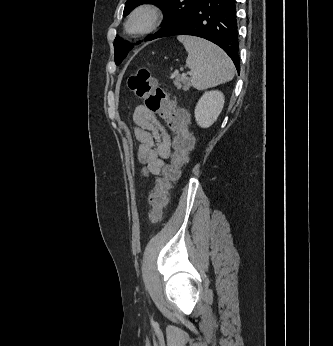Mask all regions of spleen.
<instances>
[{"instance_id":"1","label":"spleen","mask_w":333,"mask_h":346,"mask_svg":"<svg viewBox=\"0 0 333 346\" xmlns=\"http://www.w3.org/2000/svg\"><path fill=\"white\" fill-rule=\"evenodd\" d=\"M178 40L188 52L186 64L194 88L203 90L233 79V63L222 49L197 37L179 36Z\"/></svg>"}]
</instances>
